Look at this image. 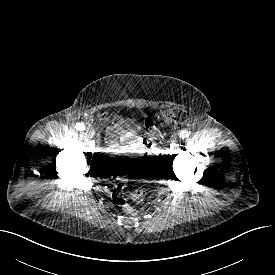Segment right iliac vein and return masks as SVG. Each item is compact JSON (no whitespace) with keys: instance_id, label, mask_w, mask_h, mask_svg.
<instances>
[{"instance_id":"1","label":"right iliac vein","mask_w":275,"mask_h":275,"mask_svg":"<svg viewBox=\"0 0 275 275\" xmlns=\"http://www.w3.org/2000/svg\"><path fill=\"white\" fill-rule=\"evenodd\" d=\"M86 133L91 137H93L95 135V131L91 127L86 128Z\"/></svg>"}]
</instances>
